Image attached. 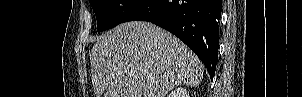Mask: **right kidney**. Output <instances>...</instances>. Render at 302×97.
Returning a JSON list of instances; mask_svg holds the SVG:
<instances>
[{
	"mask_svg": "<svg viewBox=\"0 0 302 97\" xmlns=\"http://www.w3.org/2000/svg\"><path fill=\"white\" fill-rule=\"evenodd\" d=\"M168 97H189V93L184 88H177Z\"/></svg>",
	"mask_w": 302,
	"mask_h": 97,
	"instance_id": "right-kidney-1",
	"label": "right kidney"
}]
</instances>
